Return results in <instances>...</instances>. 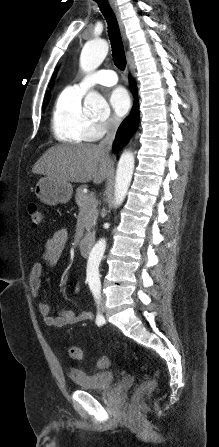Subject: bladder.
<instances>
[{
	"label": "bladder",
	"mask_w": 219,
	"mask_h": 447,
	"mask_svg": "<svg viewBox=\"0 0 219 447\" xmlns=\"http://www.w3.org/2000/svg\"><path fill=\"white\" fill-rule=\"evenodd\" d=\"M68 375L79 389L86 391H104L114 382V374L110 371L88 373L79 369H70Z\"/></svg>",
	"instance_id": "1"
}]
</instances>
